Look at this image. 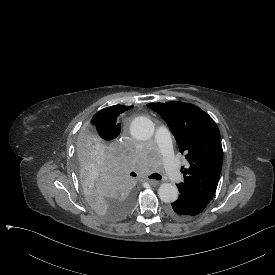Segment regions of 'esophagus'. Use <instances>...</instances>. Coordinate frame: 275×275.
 I'll return each instance as SVG.
<instances>
[{
    "mask_svg": "<svg viewBox=\"0 0 275 275\" xmlns=\"http://www.w3.org/2000/svg\"><path fill=\"white\" fill-rule=\"evenodd\" d=\"M147 182L151 185V186H157L159 184V181L154 180V179H147Z\"/></svg>",
    "mask_w": 275,
    "mask_h": 275,
    "instance_id": "34e87169",
    "label": "esophagus"
}]
</instances>
